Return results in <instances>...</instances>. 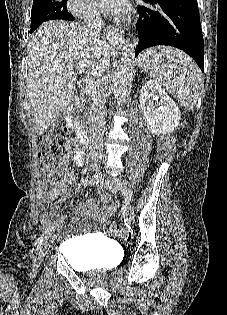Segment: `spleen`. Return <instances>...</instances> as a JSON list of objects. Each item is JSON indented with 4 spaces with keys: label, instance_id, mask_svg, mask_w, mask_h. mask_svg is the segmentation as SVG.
Instances as JSON below:
<instances>
[{
    "label": "spleen",
    "instance_id": "spleen-1",
    "mask_svg": "<svg viewBox=\"0 0 227 315\" xmlns=\"http://www.w3.org/2000/svg\"><path fill=\"white\" fill-rule=\"evenodd\" d=\"M139 65L173 94L182 106L194 108L203 79L190 57L171 47L150 48L140 55Z\"/></svg>",
    "mask_w": 227,
    "mask_h": 315
}]
</instances>
